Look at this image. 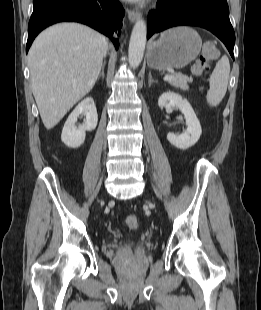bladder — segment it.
Listing matches in <instances>:
<instances>
[{
  "label": "bladder",
  "mask_w": 261,
  "mask_h": 310,
  "mask_svg": "<svg viewBox=\"0 0 261 310\" xmlns=\"http://www.w3.org/2000/svg\"><path fill=\"white\" fill-rule=\"evenodd\" d=\"M128 244L134 245V241H129Z\"/></svg>",
  "instance_id": "31cf9c89"
}]
</instances>
